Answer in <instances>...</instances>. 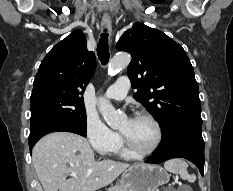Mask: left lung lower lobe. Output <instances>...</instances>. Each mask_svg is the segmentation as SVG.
Instances as JSON below:
<instances>
[{"instance_id": "obj_1", "label": "left lung lower lobe", "mask_w": 233, "mask_h": 191, "mask_svg": "<svg viewBox=\"0 0 233 191\" xmlns=\"http://www.w3.org/2000/svg\"><path fill=\"white\" fill-rule=\"evenodd\" d=\"M182 157L192 161L203 175L204 172V141L202 125L184 124L175 128L161 141L155 155L146 163L158 164L171 158Z\"/></svg>"}]
</instances>
